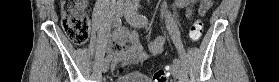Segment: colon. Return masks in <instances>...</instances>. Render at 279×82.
<instances>
[{"label": "colon", "mask_w": 279, "mask_h": 82, "mask_svg": "<svg viewBox=\"0 0 279 82\" xmlns=\"http://www.w3.org/2000/svg\"><path fill=\"white\" fill-rule=\"evenodd\" d=\"M85 0H58L60 6L62 26L70 38L77 44H84L90 33V21L85 14ZM213 3L212 0H204V9ZM204 24L201 20H196L190 27L189 37L193 42H197L203 32ZM124 69H120L117 74H123ZM154 82H167L168 74L165 70H157L153 75Z\"/></svg>", "instance_id": "5ec220e1"}]
</instances>
